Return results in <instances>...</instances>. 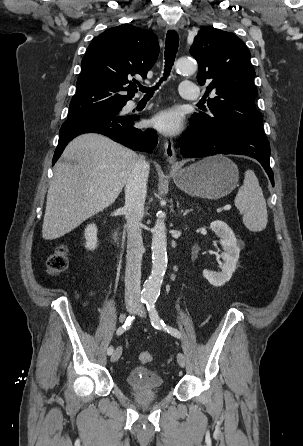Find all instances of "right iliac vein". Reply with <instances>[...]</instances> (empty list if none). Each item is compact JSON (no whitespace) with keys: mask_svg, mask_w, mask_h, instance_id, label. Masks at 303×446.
<instances>
[{"mask_svg":"<svg viewBox=\"0 0 303 446\" xmlns=\"http://www.w3.org/2000/svg\"><path fill=\"white\" fill-rule=\"evenodd\" d=\"M137 308V305L135 303H127L126 309L129 313H133ZM122 354V348L118 347L111 355V362H116Z\"/></svg>","mask_w":303,"mask_h":446,"instance_id":"63e3f726","label":"right iliac vein"}]
</instances>
